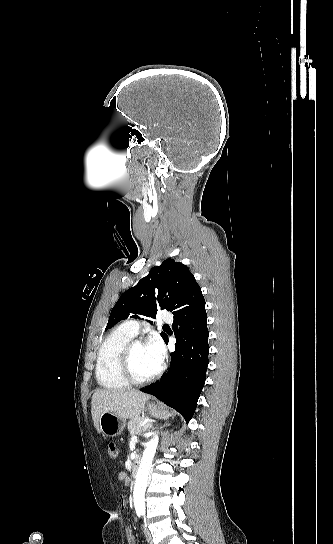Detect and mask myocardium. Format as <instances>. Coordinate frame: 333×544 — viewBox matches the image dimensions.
<instances>
[{"label":"myocardium","instance_id":"f54148a6","mask_svg":"<svg viewBox=\"0 0 333 544\" xmlns=\"http://www.w3.org/2000/svg\"><path fill=\"white\" fill-rule=\"evenodd\" d=\"M136 344H143L140 340H131L124 347L121 357H120V370L123 378L131 385L143 386L154 381L160 374L161 370L158 369L153 375L139 379L137 378L132 370L131 358L133 348Z\"/></svg>","mask_w":333,"mask_h":544}]
</instances>
